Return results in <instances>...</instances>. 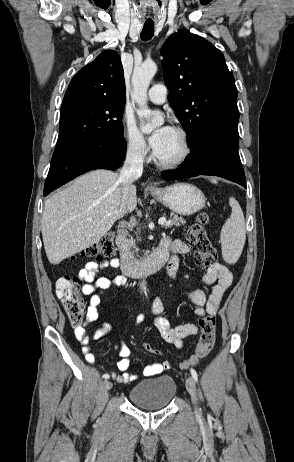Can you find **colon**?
Masks as SVG:
<instances>
[{"instance_id": "1", "label": "colon", "mask_w": 294, "mask_h": 462, "mask_svg": "<svg viewBox=\"0 0 294 462\" xmlns=\"http://www.w3.org/2000/svg\"><path fill=\"white\" fill-rule=\"evenodd\" d=\"M207 215L202 213L197 221L187 231V242L194 253L196 264L201 268H209L216 263L217 251L210 242L205 225ZM114 232H108L97 243L86 248L83 256L102 261L115 254ZM82 281L78 277L63 275L56 282V295L61 301L66 314L72 325L81 324L84 315V302L81 297ZM200 336L196 345L195 353L186 365H195L207 357L212 351L216 338V317L214 314H205L199 318ZM147 352L158 354L159 352L149 343L144 344Z\"/></svg>"}]
</instances>
